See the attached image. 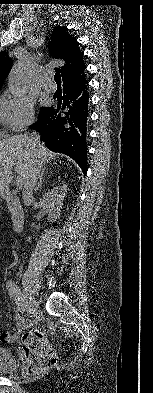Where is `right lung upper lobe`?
<instances>
[{"mask_svg": "<svg viewBox=\"0 0 153 393\" xmlns=\"http://www.w3.org/2000/svg\"><path fill=\"white\" fill-rule=\"evenodd\" d=\"M52 56L57 59H63L65 65L61 68H55L62 74V79L69 74L84 71L85 65L82 61L83 54L77 47V40L72 38L66 32V27L57 26L53 30L52 41L49 44ZM11 59L7 52H0V87L3 79L11 66Z\"/></svg>", "mask_w": 153, "mask_h": 393, "instance_id": "obj_1", "label": "right lung upper lobe"}]
</instances>
